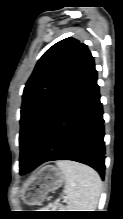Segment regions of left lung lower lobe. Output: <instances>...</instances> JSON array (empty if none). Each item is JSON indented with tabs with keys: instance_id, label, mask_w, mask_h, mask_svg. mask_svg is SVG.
<instances>
[{
	"instance_id": "left-lung-lower-lobe-1",
	"label": "left lung lower lobe",
	"mask_w": 123,
	"mask_h": 219,
	"mask_svg": "<svg viewBox=\"0 0 123 219\" xmlns=\"http://www.w3.org/2000/svg\"><path fill=\"white\" fill-rule=\"evenodd\" d=\"M103 139V109L93 65L54 113L32 158L20 174L47 161L72 160L89 165L104 178Z\"/></svg>"
}]
</instances>
